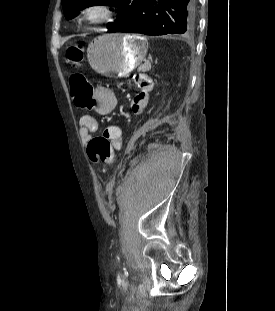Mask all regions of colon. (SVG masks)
Masks as SVG:
<instances>
[{
  "label": "colon",
  "mask_w": 275,
  "mask_h": 311,
  "mask_svg": "<svg viewBox=\"0 0 275 311\" xmlns=\"http://www.w3.org/2000/svg\"><path fill=\"white\" fill-rule=\"evenodd\" d=\"M66 57L68 61L77 64L82 60L83 52L80 45H74L67 49ZM70 86L74 103L77 107L85 108L86 105H92L94 102V89L87 78L76 73L71 76ZM142 101V99H140ZM113 141L105 135L93 138L88 146L87 153L91 162L100 169H106L112 162Z\"/></svg>",
  "instance_id": "colon-1"
}]
</instances>
